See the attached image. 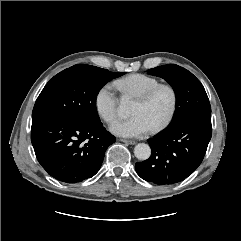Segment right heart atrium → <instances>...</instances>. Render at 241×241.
Returning a JSON list of instances; mask_svg holds the SVG:
<instances>
[{"label": "right heart atrium", "instance_id": "right-heart-atrium-1", "mask_svg": "<svg viewBox=\"0 0 241 241\" xmlns=\"http://www.w3.org/2000/svg\"><path fill=\"white\" fill-rule=\"evenodd\" d=\"M94 104L99 116L106 123H112L115 120L118 98L111 85L106 84L97 91Z\"/></svg>", "mask_w": 241, "mask_h": 241}]
</instances>
